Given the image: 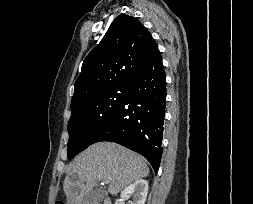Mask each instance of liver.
I'll use <instances>...</instances> for the list:
<instances>
[{
	"label": "liver",
	"instance_id": "liver-1",
	"mask_svg": "<svg viewBox=\"0 0 253 204\" xmlns=\"http://www.w3.org/2000/svg\"><path fill=\"white\" fill-rule=\"evenodd\" d=\"M149 172L145 159L133 151L111 142L95 143L70 164L63 184L67 204H82L98 181L108 184V192L116 195Z\"/></svg>",
	"mask_w": 253,
	"mask_h": 204
}]
</instances>
